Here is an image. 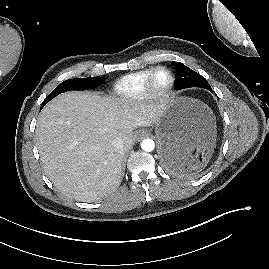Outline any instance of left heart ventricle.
Here are the masks:
<instances>
[{"label": "left heart ventricle", "instance_id": "b2bd125f", "mask_svg": "<svg viewBox=\"0 0 269 269\" xmlns=\"http://www.w3.org/2000/svg\"><path fill=\"white\" fill-rule=\"evenodd\" d=\"M169 81L168 74L165 71H159L155 77V86L161 89L167 85Z\"/></svg>", "mask_w": 269, "mask_h": 269}]
</instances>
